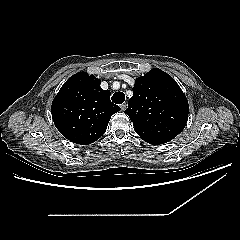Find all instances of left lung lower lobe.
I'll return each instance as SVG.
<instances>
[{
    "label": "left lung lower lobe",
    "instance_id": "1",
    "mask_svg": "<svg viewBox=\"0 0 240 240\" xmlns=\"http://www.w3.org/2000/svg\"><path fill=\"white\" fill-rule=\"evenodd\" d=\"M168 141H163V140H156V141H153L152 144L153 145H159V144H163V143H166Z\"/></svg>",
    "mask_w": 240,
    "mask_h": 240
}]
</instances>
